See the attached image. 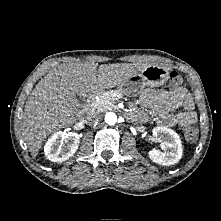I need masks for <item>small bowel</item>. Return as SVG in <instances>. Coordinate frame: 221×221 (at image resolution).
<instances>
[{"label":"small bowel","mask_w":221,"mask_h":221,"mask_svg":"<svg viewBox=\"0 0 221 221\" xmlns=\"http://www.w3.org/2000/svg\"><path fill=\"white\" fill-rule=\"evenodd\" d=\"M162 108L159 110L155 120L166 126L183 125L187 122H195L194 102L192 96L185 88L179 87L170 91H162L159 94ZM182 107L184 110L178 113L174 111Z\"/></svg>","instance_id":"c3829d8e"}]
</instances>
